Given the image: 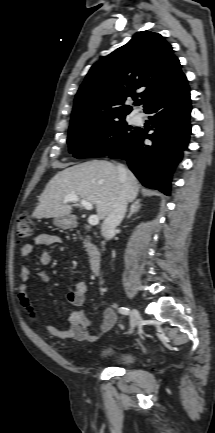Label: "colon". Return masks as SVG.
Wrapping results in <instances>:
<instances>
[{
    "mask_svg": "<svg viewBox=\"0 0 215 433\" xmlns=\"http://www.w3.org/2000/svg\"><path fill=\"white\" fill-rule=\"evenodd\" d=\"M15 232L19 239H26L32 236L34 232V223L32 218L26 214H19L15 221Z\"/></svg>",
    "mask_w": 215,
    "mask_h": 433,
    "instance_id": "obj_1",
    "label": "colon"
}]
</instances>
